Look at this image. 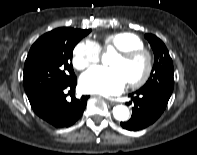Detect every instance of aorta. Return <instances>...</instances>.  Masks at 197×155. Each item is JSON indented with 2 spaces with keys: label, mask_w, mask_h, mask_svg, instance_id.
<instances>
[{
  "label": "aorta",
  "mask_w": 197,
  "mask_h": 155,
  "mask_svg": "<svg viewBox=\"0 0 197 155\" xmlns=\"http://www.w3.org/2000/svg\"><path fill=\"white\" fill-rule=\"evenodd\" d=\"M110 54H111L110 51L105 53V54H103L102 62L104 64L107 63ZM129 115H130L129 109H128V107H126L124 105H117L116 107L113 108V116L118 121H126V120H128Z\"/></svg>",
  "instance_id": "1"
}]
</instances>
